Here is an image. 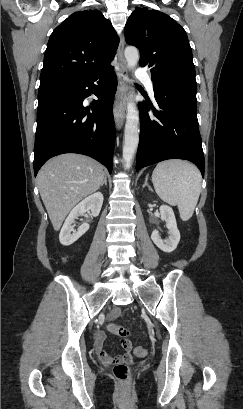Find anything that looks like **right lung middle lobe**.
Wrapping results in <instances>:
<instances>
[{
  "label": "right lung middle lobe",
  "mask_w": 243,
  "mask_h": 409,
  "mask_svg": "<svg viewBox=\"0 0 243 409\" xmlns=\"http://www.w3.org/2000/svg\"><path fill=\"white\" fill-rule=\"evenodd\" d=\"M69 83H72V81L61 79V78L44 79V80H40L39 90H44L50 87L65 85Z\"/></svg>",
  "instance_id": "obj_1"
}]
</instances>
